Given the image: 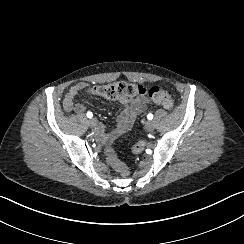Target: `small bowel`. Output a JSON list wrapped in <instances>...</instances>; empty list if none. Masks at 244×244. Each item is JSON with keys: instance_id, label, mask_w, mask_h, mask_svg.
I'll return each instance as SVG.
<instances>
[{"instance_id": "1", "label": "small bowel", "mask_w": 244, "mask_h": 244, "mask_svg": "<svg viewBox=\"0 0 244 244\" xmlns=\"http://www.w3.org/2000/svg\"><path fill=\"white\" fill-rule=\"evenodd\" d=\"M87 87L85 82H78L70 87L63 101V107L66 111H75L77 114H83L86 105L82 102H76L77 95ZM117 102L123 107L118 116V126L108 134H104L103 127L99 126L98 130L101 136H105L108 141H112L131 129L136 117L144 112L148 105V100L144 97H121Z\"/></svg>"}]
</instances>
